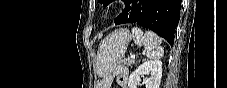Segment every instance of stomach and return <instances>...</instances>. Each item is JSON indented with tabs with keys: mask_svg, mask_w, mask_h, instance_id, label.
Returning <instances> with one entry per match:
<instances>
[{
	"mask_svg": "<svg viewBox=\"0 0 227 88\" xmlns=\"http://www.w3.org/2000/svg\"><path fill=\"white\" fill-rule=\"evenodd\" d=\"M130 40L131 35L126 28L117 29L103 39L96 58V72L99 76L105 77L112 73L118 61L125 55Z\"/></svg>",
	"mask_w": 227,
	"mask_h": 88,
	"instance_id": "stomach-1",
	"label": "stomach"
}]
</instances>
